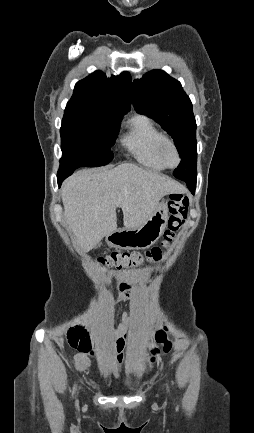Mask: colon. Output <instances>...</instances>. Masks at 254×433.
<instances>
[{"label": "colon", "instance_id": "5ec220e1", "mask_svg": "<svg viewBox=\"0 0 254 433\" xmlns=\"http://www.w3.org/2000/svg\"><path fill=\"white\" fill-rule=\"evenodd\" d=\"M188 207V197L180 193L171 194L168 200V228L164 233V240L161 246H155L144 253L136 251H113L107 256L99 258V265L104 269L115 268L129 272L145 269L148 265L160 262L163 259L165 251L175 239L177 232L185 225ZM167 333V327L155 333L154 342L149 350L151 364L154 363L158 355L170 351L172 344ZM68 341L72 348L80 352L87 353L91 351V344L86 330L78 328L71 331Z\"/></svg>", "mask_w": 254, "mask_h": 433}]
</instances>
